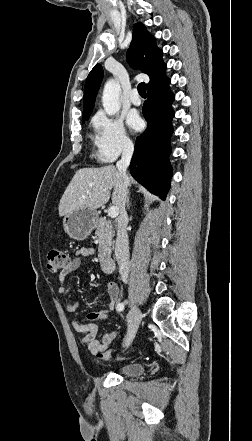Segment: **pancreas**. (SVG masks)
I'll list each match as a JSON object with an SVG mask.
<instances>
[{
    "label": "pancreas",
    "mask_w": 252,
    "mask_h": 441,
    "mask_svg": "<svg viewBox=\"0 0 252 441\" xmlns=\"http://www.w3.org/2000/svg\"><path fill=\"white\" fill-rule=\"evenodd\" d=\"M96 239L99 243L98 246V258L100 262L110 258L112 240L114 237V229L111 221L105 217L98 219L95 231Z\"/></svg>",
    "instance_id": "obj_1"
}]
</instances>
